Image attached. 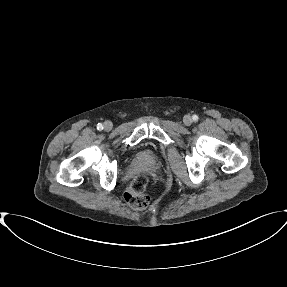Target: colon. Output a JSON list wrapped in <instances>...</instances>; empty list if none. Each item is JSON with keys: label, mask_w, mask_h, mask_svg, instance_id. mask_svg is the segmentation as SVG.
<instances>
[{"label": "colon", "mask_w": 287, "mask_h": 287, "mask_svg": "<svg viewBox=\"0 0 287 287\" xmlns=\"http://www.w3.org/2000/svg\"><path fill=\"white\" fill-rule=\"evenodd\" d=\"M147 184L148 178L144 174L137 175L131 181L124 194V199L131 208L141 210L149 205L150 198L146 194Z\"/></svg>", "instance_id": "colon-1"}]
</instances>
